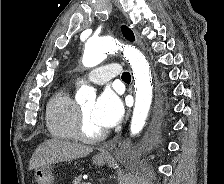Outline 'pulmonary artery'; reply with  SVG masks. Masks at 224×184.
Here are the masks:
<instances>
[{"label": "pulmonary artery", "instance_id": "e3ab8cb5", "mask_svg": "<svg viewBox=\"0 0 224 184\" xmlns=\"http://www.w3.org/2000/svg\"><path fill=\"white\" fill-rule=\"evenodd\" d=\"M121 74L118 64L113 62L90 71L86 74V78L94 84L102 85Z\"/></svg>", "mask_w": 224, "mask_h": 184}]
</instances>
